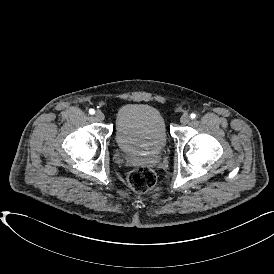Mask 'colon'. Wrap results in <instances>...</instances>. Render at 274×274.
<instances>
[{
	"label": "colon",
	"instance_id": "colon-1",
	"mask_svg": "<svg viewBox=\"0 0 274 274\" xmlns=\"http://www.w3.org/2000/svg\"><path fill=\"white\" fill-rule=\"evenodd\" d=\"M128 184L137 193H145L156 184L155 172L147 167L134 169L128 175Z\"/></svg>",
	"mask_w": 274,
	"mask_h": 274
}]
</instances>
